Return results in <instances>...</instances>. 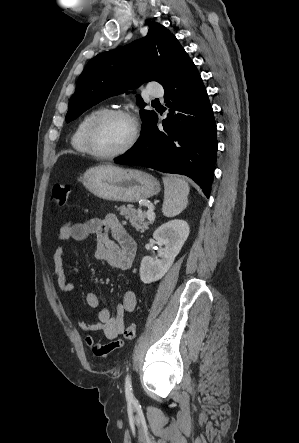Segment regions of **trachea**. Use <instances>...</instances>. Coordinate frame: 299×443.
I'll return each instance as SVG.
<instances>
[{
	"mask_svg": "<svg viewBox=\"0 0 299 443\" xmlns=\"http://www.w3.org/2000/svg\"><path fill=\"white\" fill-rule=\"evenodd\" d=\"M152 102H159V100H158V99H155V100H153Z\"/></svg>",
	"mask_w": 299,
	"mask_h": 443,
	"instance_id": "obj_1",
	"label": "trachea"
}]
</instances>
